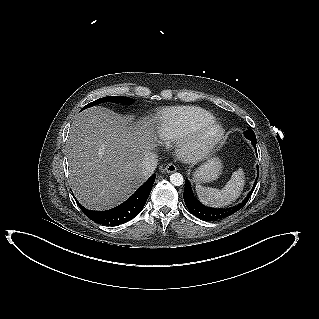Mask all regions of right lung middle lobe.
Returning <instances> with one entry per match:
<instances>
[{"label": "right lung middle lobe", "instance_id": "right-lung-middle-lobe-1", "mask_svg": "<svg viewBox=\"0 0 319 319\" xmlns=\"http://www.w3.org/2000/svg\"><path fill=\"white\" fill-rule=\"evenodd\" d=\"M103 102H114V103H122V104L130 105L134 102V99L129 98V97H117V96L103 97V98H100L96 101H93V102L87 104L85 107L82 108V110L86 109L88 107H92L94 105L103 103Z\"/></svg>", "mask_w": 319, "mask_h": 319}]
</instances>
